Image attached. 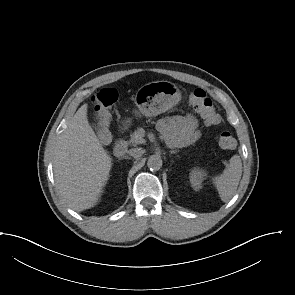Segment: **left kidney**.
Instances as JSON below:
<instances>
[{
	"mask_svg": "<svg viewBox=\"0 0 295 295\" xmlns=\"http://www.w3.org/2000/svg\"><path fill=\"white\" fill-rule=\"evenodd\" d=\"M204 176H206V173L204 170L199 169V168H194L191 170L189 178L191 185L194 190H199L201 189L202 181L204 179Z\"/></svg>",
	"mask_w": 295,
	"mask_h": 295,
	"instance_id": "left-kidney-1",
	"label": "left kidney"
}]
</instances>
